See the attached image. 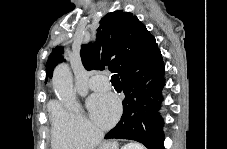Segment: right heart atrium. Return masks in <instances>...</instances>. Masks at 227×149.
Here are the masks:
<instances>
[{
    "label": "right heart atrium",
    "instance_id": "right-heart-atrium-1",
    "mask_svg": "<svg viewBox=\"0 0 227 149\" xmlns=\"http://www.w3.org/2000/svg\"><path fill=\"white\" fill-rule=\"evenodd\" d=\"M53 144L61 149H80L98 144L101 131L80 111L55 101L51 105Z\"/></svg>",
    "mask_w": 227,
    "mask_h": 149
}]
</instances>
